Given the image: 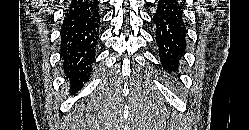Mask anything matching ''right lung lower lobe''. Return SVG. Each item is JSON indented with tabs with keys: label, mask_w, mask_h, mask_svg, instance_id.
<instances>
[{
	"label": "right lung lower lobe",
	"mask_w": 249,
	"mask_h": 130,
	"mask_svg": "<svg viewBox=\"0 0 249 130\" xmlns=\"http://www.w3.org/2000/svg\"><path fill=\"white\" fill-rule=\"evenodd\" d=\"M100 6L94 0H74L62 23L60 51L64 70L74 86L88 79L99 39Z\"/></svg>",
	"instance_id": "right-lung-lower-lobe-1"
}]
</instances>
